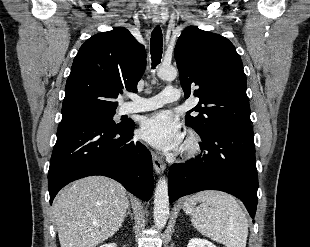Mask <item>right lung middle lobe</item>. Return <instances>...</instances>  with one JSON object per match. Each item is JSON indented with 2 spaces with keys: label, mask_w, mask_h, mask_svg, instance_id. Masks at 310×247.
I'll use <instances>...</instances> for the list:
<instances>
[{
  "label": "right lung middle lobe",
  "mask_w": 310,
  "mask_h": 247,
  "mask_svg": "<svg viewBox=\"0 0 310 247\" xmlns=\"http://www.w3.org/2000/svg\"><path fill=\"white\" fill-rule=\"evenodd\" d=\"M116 109H104L98 107H75L62 111V121L74 119H105L112 124L120 126L124 123L116 124L113 121V115Z\"/></svg>",
  "instance_id": "obj_1"
}]
</instances>
